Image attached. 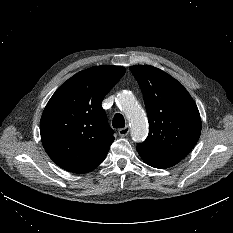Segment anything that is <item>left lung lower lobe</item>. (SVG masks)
<instances>
[{
  "label": "left lung lower lobe",
  "instance_id": "1",
  "mask_svg": "<svg viewBox=\"0 0 233 233\" xmlns=\"http://www.w3.org/2000/svg\"><path fill=\"white\" fill-rule=\"evenodd\" d=\"M137 151L146 164L159 169L171 167L180 161V159L148 153L139 147H137Z\"/></svg>",
  "mask_w": 233,
  "mask_h": 233
}]
</instances>
